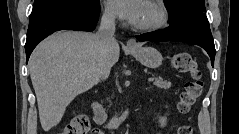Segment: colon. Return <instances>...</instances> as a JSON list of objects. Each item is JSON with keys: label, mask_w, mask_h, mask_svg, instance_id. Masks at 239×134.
I'll list each match as a JSON object with an SVG mask.
<instances>
[{"label": "colon", "mask_w": 239, "mask_h": 134, "mask_svg": "<svg viewBox=\"0 0 239 134\" xmlns=\"http://www.w3.org/2000/svg\"><path fill=\"white\" fill-rule=\"evenodd\" d=\"M172 63L178 71L191 76V80L186 83L180 94L177 105L178 111L181 114H188L203 92L204 84L201 80V72L195 59L187 53L175 54L172 57ZM90 131L91 126L88 117L80 114L70 121L62 134H89ZM177 133L192 134V128L188 125H180Z\"/></svg>", "instance_id": "obj_1"}]
</instances>
